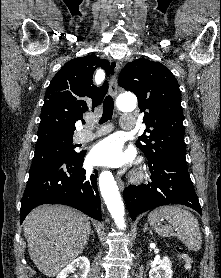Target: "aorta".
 Listing matches in <instances>:
<instances>
[{
    "mask_svg": "<svg viewBox=\"0 0 221 278\" xmlns=\"http://www.w3.org/2000/svg\"><path fill=\"white\" fill-rule=\"evenodd\" d=\"M136 101L133 97L126 98L122 97L118 102V107L122 111L131 110L134 108ZM99 187L101 195L107 205L109 212L111 213L112 218L114 219L118 229L124 230L125 225V209L124 204L121 199L119 188L114 180V177L111 172L103 171L99 176Z\"/></svg>",
    "mask_w": 221,
    "mask_h": 278,
    "instance_id": "762f6f07",
    "label": "aorta"
}]
</instances>
